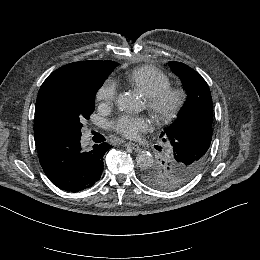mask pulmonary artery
<instances>
[{
  "instance_id": "obj_1",
  "label": "pulmonary artery",
  "mask_w": 260,
  "mask_h": 260,
  "mask_svg": "<svg viewBox=\"0 0 260 260\" xmlns=\"http://www.w3.org/2000/svg\"><path fill=\"white\" fill-rule=\"evenodd\" d=\"M87 136H88V137H90V136H91V133H90V131H88V133H87Z\"/></svg>"
}]
</instances>
